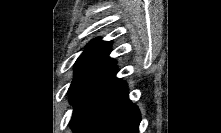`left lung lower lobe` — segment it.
Returning a JSON list of instances; mask_svg holds the SVG:
<instances>
[{"instance_id": "0a47b994", "label": "left lung lower lobe", "mask_w": 221, "mask_h": 133, "mask_svg": "<svg viewBox=\"0 0 221 133\" xmlns=\"http://www.w3.org/2000/svg\"><path fill=\"white\" fill-rule=\"evenodd\" d=\"M115 65L90 83L73 102L70 126L74 133H138V108L128 89L115 77Z\"/></svg>"}]
</instances>
